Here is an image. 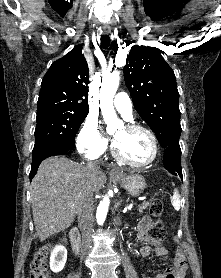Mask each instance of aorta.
<instances>
[{
    "label": "aorta",
    "mask_w": 221,
    "mask_h": 278,
    "mask_svg": "<svg viewBox=\"0 0 221 278\" xmlns=\"http://www.w3.org/2000/svg\"><path fill=\"white\" fill-rule=\"evenodd\" d=\"M120 82V74L118 71H114L105 75L102 79L101 89H100V108L104 120L108 122L110 119H116V113L113 105V99L116 94ZM110 204V199L105 196L102 201H100L96 219L98 225H103L108 208Z\"/></svg>",
    "instance_id": "1"
}]
</instances>
